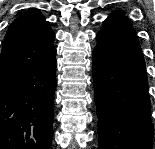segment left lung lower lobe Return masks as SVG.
<instances>
[{"mask_svg":"<svg viewBox=\"0 0 155 149\" xmlns=\"http://www.w3.org/2000/svg\"><path fill=\"white\" fill-rule=\"evenodd\" d=\"M93 82L99 149H152L148 79L132 24L112 13L97 34Z\"/></svg>","mask_w":155,"mask_h":149,"instance_id":"0a47b994","label":"left lung lower lobe"}]
</instances>
